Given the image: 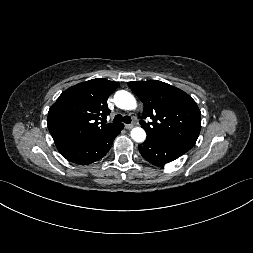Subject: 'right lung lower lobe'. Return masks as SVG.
<instances>
[{"mask_svg":"<svg viewBox=\"0 0 253 253\" xmlns=\"http://www.w3.org/2000/svg\"><path fill=\"white\" fill-rule=\"evenodd\" d=\"M123 127V124H120L109 132L74 145L60 153L67 160L76 164H90L98 161L109 151L115 137L120 133Z\"/></svg>","mask_w":253,"mask_h":253,"instance_id":"obj_1","label":"right lung lower lobe"}]
</instances>
